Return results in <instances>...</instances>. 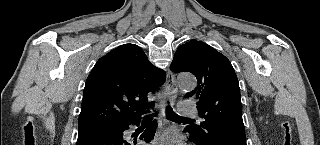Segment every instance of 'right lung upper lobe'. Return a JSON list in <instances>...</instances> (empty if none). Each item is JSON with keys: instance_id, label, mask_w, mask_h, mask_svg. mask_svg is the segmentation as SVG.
I'll list each match as a JSON object with an SVG mask.
<instances>
[{"instance_id": "cb5924a9", "label": "right lung upper lobe", "mask_w": 320, "mask_h": 145, "mask_svg": "<svg viewBox=\"0 0 320 145\" xmlns=\"http://www.w3.org/2000/svg\"><path fill=\"white\" fill-rule=\"evenodd\" d=\"M166 74L135 44L121 45L98 60L89 74L79 116V130L129 124L141 119L147 93L165 82Z\"/></svg>"}]
</instances>
